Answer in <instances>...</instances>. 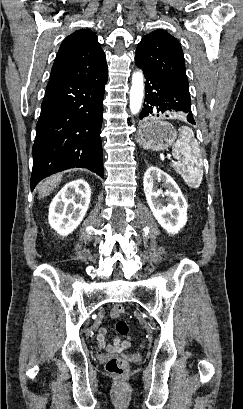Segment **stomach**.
<instances>
[{
  "mask_svg": "<svg viewBox=\"0 0 243 409\" xmlns=\"http://www.w3.org/2000/svg\"><path fill=\"white\" fill-rule=\"evenodd\" d=\"M177 138V132L172 124L163 119L145 121L138 131L137 142L144 149L162 151L172 145Z\"/></svg>",
  "mask_w": 243,
  "mask_h": 409,
  "instance_id": "stomach-1",
  "label": "stomach"
}]
</instances>
